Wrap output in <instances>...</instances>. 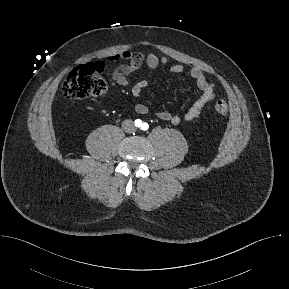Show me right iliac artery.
Instances as JSON below:
<instances>
[{
    "mask_svg": "<svg viewBox=\"0 0 289 289\" xmlns=\"http://www.w3.org/2000/svg\"><path fill=\"white\" fill-rule=\"evenodd\" d=\"M135 125L140 127L142 125V121L140 119L135 120Z\"/></svg>",
    "mask_w": 289,
    "mask_h": 289,
    "instance_id": "82829eb1",
    "label": "right iliac artery"
}]
</instances>
